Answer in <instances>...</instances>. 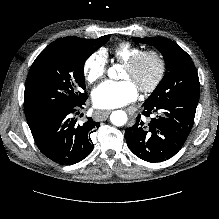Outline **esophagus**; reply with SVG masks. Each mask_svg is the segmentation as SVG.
<instances>
[{
	"label": "esophagus",
	"instance_id": "obj_1",
	"mask_svg": "<svg viewBox=\"0 0 219 219\" xmlns=\"http://www.w3.org/2000/svg\"><path fill=\"white\" fill-rule=\"evenodd\" d=\"M111 113L110 110H105L100 112V120L104 121L108 118L109 114Z\"/></svg>",
	"mask_w": 219,
	"mask_h": 219
}]
</instances>
